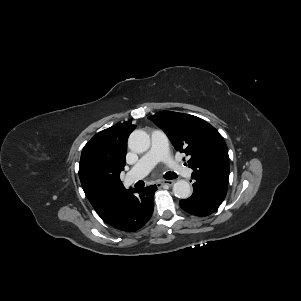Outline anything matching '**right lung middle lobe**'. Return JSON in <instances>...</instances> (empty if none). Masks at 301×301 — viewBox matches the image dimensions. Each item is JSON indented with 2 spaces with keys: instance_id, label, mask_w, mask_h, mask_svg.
I'll use <instances>...</instances> for the list:
<instances>
[{
  "instance_id": "right-lung-middle-lobe-1",
  "label": "right lung middle lobe",
  "mask_w": 301,
  "mask_h": 301,
  "mask_svg": "<svg viewBox=\"0 0 301 301\" xmlns=\"http://www.w3.org/2000/svg\"><path fill=\"white\" fill-rule=\"evenodd\" d=\"M118 180L105 173H94L89 177L88 183L92 190L98 193H108L117 184Z\"/></svg>"
}]
</instances>
